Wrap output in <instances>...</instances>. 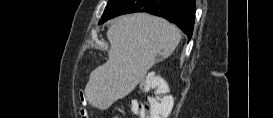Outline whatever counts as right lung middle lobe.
Returning a JSON list of instances; mask_svg holds the SVG:
<instances>
[{
    "mask_svg": "<svg viewBox=\"0 0 273 118\" xmlns=\"http://www.w3.org/2000/svg\"><path fill=\"white\" fill-rule=\"evenodd\" d=\"M121 0H109L106 8H105V11L102 15V19L109 16L113 10V8L120 2Z\"/></svg>",
    "mask_w": 273,
    "mask_h": 118,
    "instance_id": "obj_1",
    "label": "right lung middle lobe"
}]
</instances>
